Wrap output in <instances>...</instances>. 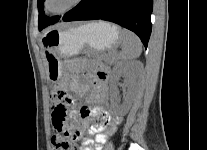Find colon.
Returning <instances> with one entry per match:
<instances>
[{"mask_svg": "<svg viewBox=\"0 0 207 150\" xmlns=\"http://www.w3.org/2000/svg\"><path fill=\"white\" fill-rule=\"evenodd\" d=\"M53 106L51 111H54L50 122H54L52 137L53 150H79L77 139L79 134L71 132L70 110L72 100L67 93V87L57 90L52 94Z\"/></svg>", "mask_w": 207, "mask_h": 150, "instance_id": "obj_1", "label": "colon"}]
</instances>
